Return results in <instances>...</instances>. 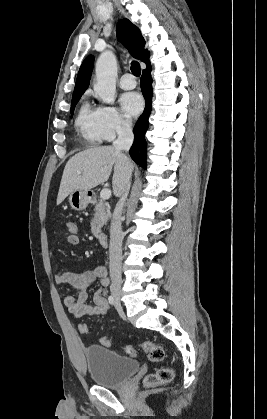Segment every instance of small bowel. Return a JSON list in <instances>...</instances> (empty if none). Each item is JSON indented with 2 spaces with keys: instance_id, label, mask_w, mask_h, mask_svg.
Listing matches in <instances>:
<instances>
[{
  "instance_id": "small-bowel-1",
  "label": "small bowel",
  "mask_w": 267,
  "mask_h": 419,
  "mask_svg": "<svg viewBox=\"0 0 267 419\" xmlns=\"http://www.w3.org/2000/svg\"><path fill=\"white\" fill-rule=\"evenodd\" d=\"M55 282L59 285H69L75 290V294L66 295L63 299L64 306L75 317L101 316L108 310L106 288L109 285L108 271L104 266H97L88 271H56ZM99 280L101 288L94 293V304H87L89 286Z\"/></svg>"
}]
</instances>
